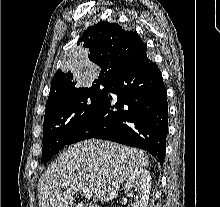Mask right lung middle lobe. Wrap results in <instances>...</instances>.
<instances>
[{
	"mask_svg": "<svg viewBox=\"0 0 220 207\" xmlns=\"http://www.w3.org/2000/svg\"><path fill=\"white\" fill-rule=\"evenodd\" d=\"M104 87V88H102ZM109 85H92L65 94L46 106L42 161H48L103 104Z\"/></svg>",
	"mask_w": 220,
	"mask_h": 207,
	"instance_id": "dd1d6c3e",
	"label": "right lung middle lobe"
}]
</instances>
